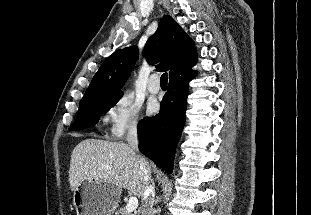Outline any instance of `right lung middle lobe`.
I'll return each mask as SVG.
<instances>
[{
  "label": "right lung middle lobe",
  "instance_id": "dd1d6c3e",
  "mask_svg": "<svg viewBox=\"0 0 311 215\" xmlns=\"http://www.w3.org/2000/svg\"><path fill=\"white\" fill-rule=\"evenodd\" d=\"M121 95L103 96L80 103L77 118L72 125V130H81L94 126L99 117L110 110L122 97Z\"/></svg>",
  "mask_w": 311,
  "mask_h": 215
}]
</instances>
